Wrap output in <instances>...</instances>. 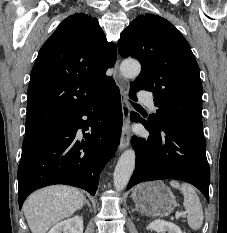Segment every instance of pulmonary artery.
<instances>
[{
    "instance_id": "pulmonary-artery-1",
    "label": "pulmonary artery",
    "mask_w": 227,
    "mask_h": 233,
    "mask_svg": "<svg viewBox=\"0 0 227 233\" xmlns=\"http://www.w3.org/2000/svg\"><path fill=\"white\" fill-rule=\"evenodd\" d=\"M140 101L147 105L151 110H155L153 99L147 94H140Z\"/></svg>"
}]
</instances>
